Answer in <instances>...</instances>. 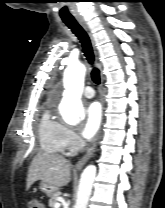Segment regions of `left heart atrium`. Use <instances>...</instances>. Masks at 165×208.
Listing matches in <instances>:
<instances>
[{
    "instance_id": "39dd6f15",
    "label": "left heart atrium",
    "mask_w": 165,
    "mask_h": 208,
    "mask_svg": "<svg viewBox=\"0 0 165 208\" xmlns=\"http://www.w3.org/2000/svg\"><path fill=\"white\" fill-rule=\"evenodd\" d=\"M102 118L101 106L98 102H92L85 108V120L81 128V134L86 139H91L97 133Z\"/></svg>"
}]
</instances>
